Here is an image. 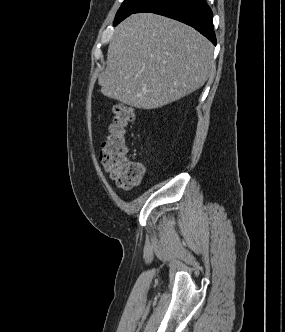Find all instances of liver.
<instances>
[{
  "label": "liver",
  "mask_w": 285,
  "mask_h": 332,
  "mask_svg": "<svg viewBox=\"0 0 285 332\" xmlns=\"http://www.w3.org/2000/svg\"><path fill=\"white\" fill-rule=\"evenodd\" d=\"M214 70L213 45L198 31L139 13L115 28L98 84L104 96L150 110L196 91Z\"/></svg>",
  "instance_id": "1"
}]
</instances>
